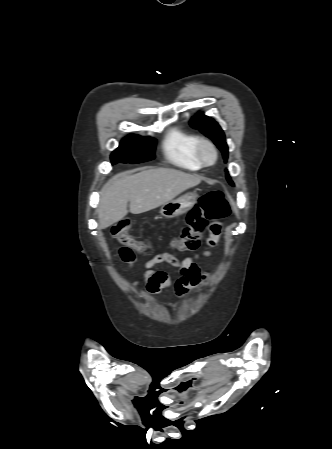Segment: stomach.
<instances>
[{
	"label": "stomach",
	"instance_id": "1",
	"mask_svg": "<svg viewBox=\"0 0 332 449\" xmlns=\"http://www.w3.org/2000/svg\"><path fill=\"white\" fill-rule=\"evenodd\" d=\"M197 194L187 193L175 200L163 204L160 214L166 218H173L188 212L197 202Z\"/></svg>",
	"mask_w": 332,
	"mask_h": 449
}]
</instances>
